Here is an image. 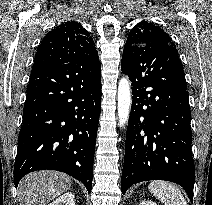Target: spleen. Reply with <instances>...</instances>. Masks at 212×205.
Here are the masks:
<instances>
[{
	"label": "spleen",
	"mask_w": 212,
	"mask_h": 205,
	"mask_svg": "<svg viewBox=\"0 0 212 205\" xmlns=\"http://www.w3.org/2000/svg\"><path fill=\"white\" fill-rule=\"evenodd\" d=\"M148 189L164 205H187L180 189L172 183L153 181Z\"/></svg>",
	"instance_id": "spleen-1"
}]
</instances>
